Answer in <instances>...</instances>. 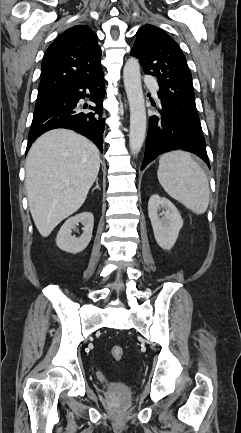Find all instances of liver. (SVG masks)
<instances>
[{
	"label": "liver",
	"instance_id": "obj_1",
	"mask_svg": "<svg viewBox=\"0 0 241 433\" xmlns=\"http://www.w3.org/2000/svg\"><path fill=\"white\" fill-rule=\"evenodd\" d=\"M100 168L98 149L67 129L48 131L26 158V191L34 223L47 237L84 203Z\"/></svg>",
	"mask_w": 241,
	"mask_h": 433
}]
</instances>
